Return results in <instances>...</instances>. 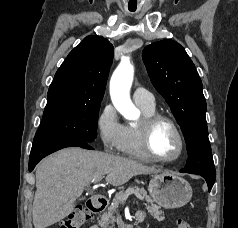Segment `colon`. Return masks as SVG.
<instances>
[{
  "label": "colon",
  "mask_w": 238,
  "mask_h": 228,
  "mask_svg": "<svg viewBox=\"0 0 238 228\" xmlns=\"http://www.w3.org/2000/svg\"><path fill=\"white\" fill-rule=\"evenodd\" d=\"M91 213L88 209L77 206L73 209L71 214L62 221L58 228H81L82 225L90 218ZM177 228H199L191 223H189L187 220L179 219L177 223Z\"/></svg>",
  "instance_id": "colon-1"
}]
</instances>
